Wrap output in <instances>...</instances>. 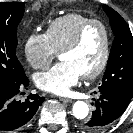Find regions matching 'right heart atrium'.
Returning <instances> with one entry per match:
<instances>
[{"label":"right heart atrium","instance_id":"obj_1","mask_svg":"<svg viewBox=\"0 0 133 133\" xmlns=\"http://www.w3.org/2000/svg\"><path fill=\"white\" fill-rule=\"evenodd\" d=\"M24 52L27 61L35 69L47 68L57 55V51L44 33L29 35L24 44Z\"/></svg>","mask_w":133,"mask_h":133}]
</instances>
